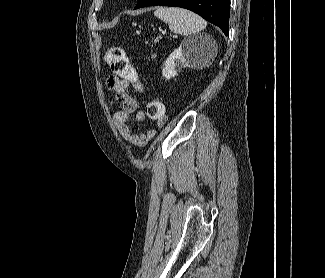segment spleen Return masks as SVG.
<instances>
[{"instance_id":"obj_1","label":"spleen","mask_w":325,"mask_h":278,"mask_svg":"<svg viewBox=\"0 0 325 278\" xmlns=\"http://www.w3.org/2000/svg\"><path fill=\"white\" fill-rule=\"evenodd\" d=\"M154 15L166 22L172 32L191 35L206 28V22L200 16L177 7H158Z\"/></svg>"}]
</instances>
